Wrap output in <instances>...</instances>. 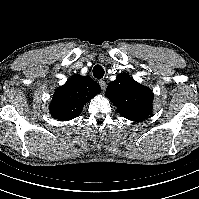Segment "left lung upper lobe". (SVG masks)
I'll use <instances>...</instances> for the list:
<instances>
[{
  "label": "left lung upper lobe",
  "mask_w": 199,
  "mask_h": 199,
  "mask_svg": "<svg viewBox=\"0 0 199 199\" xmlns=\"http://www.w3.org/2000/svg\"><path fill=\"white\" fill-rule=\"evenodd\" d=\"M105 96L116 105L121 116L131 121H142L152 112V91L127 74L118 75L108 85Z\"/></svg>",
  "instance_id": "obj_1"
}]
</instances>
